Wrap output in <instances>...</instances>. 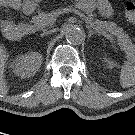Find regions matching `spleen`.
I'll return each mask as SVG.
<instances>
[{
    "label": "spleen",
    "instance_id": "obj_1",
    "mask_svg": "<svg viewBox=\"0 0 135 135\" xmlns=\"http://www.w3.org/2000/svg\"><path fill=\"white\" fill-rule=\"evenodd\" d=\"M120 85L128 88L135 85V64L125 63L120 72Z\"/></svg>",
    "mask_w": 135,
    "mask_h": 135
}]
</instances>
